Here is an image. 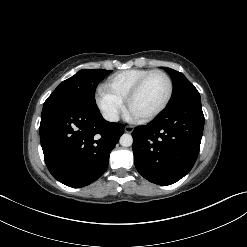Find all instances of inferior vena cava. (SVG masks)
Instances as JSON below:
<instances>
[{
    "mask_svg": "<svg viewBox=\"0 0 247 247\" xmlns=\"http://www.w3.org/2000/svg\"><path fill=\"white\" fill-rule=\"evenodd\" d=\"M103 117L105 120L110 122H117L119 120V116L117 113H104Z\"/></svg>",
    "mask_w": 247,
    "mask_h": 247,
    "instance_id": "1",
    "label": "inferior vena cava"
}]
</instances>
